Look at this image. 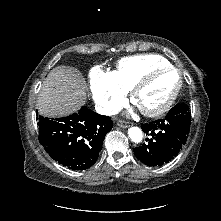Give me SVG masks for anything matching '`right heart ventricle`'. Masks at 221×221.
Returning a JSON list of instances; mask_svg holds the SVG:
<instances>
[{"label": "right heart ventricle", "instance_id": "right-heart-ventricle-1", "mask_svg": "<svg viewBox=\"0 0 221 221\" xmlns=\"http://www.w3.org/2000/svg\"><path fill=\"white\" fill-rule=\"evenodd\" d=\"M168 65H170L169 61L160 55L130 56L122 58L113 73L122 87L130 91L147 72L156 67Z\"/></svg>", "mask_w": 221, "mask_h": 221}]
</instances>
